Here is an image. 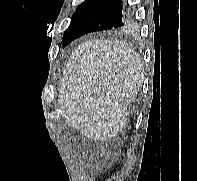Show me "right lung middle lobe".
I'll return each instance as SVG.
<instances>
[{
	"mask_svg": "<svg viewBox=\"0 0 197 181\" xmlns=\"http://www.w3.org/2000/svg\"><path fill=\"white\" fill-rule=\"evenodd\" d=\"M83 12V10H79L77 9L76 12L73 14L72 18H71V23H70V26L68 27V29L65 31V37L64 39L66 38L71 26L73 25V23L76 21V19L81 15V13ZM124 28H128V27H124ZM63 39V40H64Z\"/></svg>",
	"mask_w": 197,
	"mask_h": 181,
	"instance_id": "obj_1",
	"label": "right lung middle lobe"
}]
</instances>
